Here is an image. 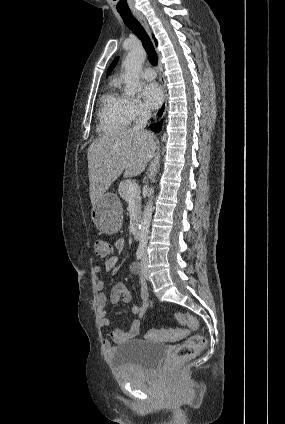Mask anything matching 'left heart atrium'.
Instances as JSON below:
<instances>
[{"mask_svg":"<svg viewBox=\"0 0 285 424\" xmlns=\"http://www.w3.org/2000/svg\"><path fill=\"white\" fill-rule=\"evenodd\" d=\"M142 96L149 108H157L163 99V93L156 82L145 83L142 87Z\"/></svg>","mask_w":285,"mask_h":424,"instance_id":"left-heart-atrium-1","label":"left heart atrium"}]
</instances>
